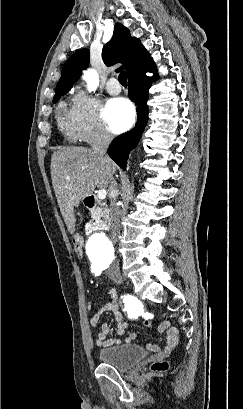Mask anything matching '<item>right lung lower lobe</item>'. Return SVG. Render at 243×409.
I'll list each match as a JSON object with an SVG mask.
<instances>
[{
    "instance_id": "1",
    "label": "right lung lower lobe",
    "mask_w": 243,
    "mask_h": 409,
    "mask_svg": "<svg viewBox=\"0 0 243 409\" xmlns=\"http://www.w3.org/2000/svg\"><path fill=\"white\" fill-rule=\"evenodd\" d=\"M147 72L154 73L153 77H147L145 72L128 79V96L137 106L138 119L135 128L115 138L108 149L109 156L124 170L129 152L138 144L148 120V90L151 82L157 79V74L155 68Z\"/></svg>"
}]
</instances>
